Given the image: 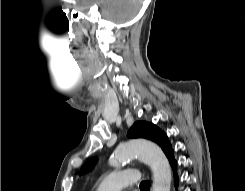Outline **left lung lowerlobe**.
Masks as SVG:
<instances>
[{"label": "left lung lower lobe", "instance_id": "1", "mask_svg": "<svg viewBox=\"0 0 245 191\" xmlns=\"http://www.w3.org/2000/svg\"><path fill=\"white\" fill-rule=\"evenodd\" d=\"M167 158L169 160V163H170L172 171H173L174 185H175V187H177L178 186V182H179V178H178V174H177V161L175 160L174 151L173 150L170 152V154L168 155Z\"/></svg>", "mask_w": 245, "mask_h": 191}]
</instances>
